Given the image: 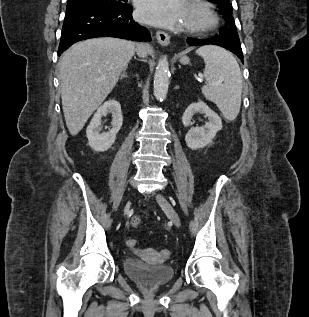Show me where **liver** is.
I'll list each match as a JSON object with an SVG mask.
<instances>
[{
  "label": "liver",
  "mask_w": 309,
  "mask_h": 317,
  "mask_svg": "<svg viewBox=\"0 0 309 317\" xmlns=\"http://www.w3.org/2000/svg\"><path fill=\"white\" fill-rule=\"evenodd\" d=\"M135 51L152 52L149 45L104 37L74 44L60 59L61 99L67 128L77 135L92 113L115 87Z\"/></svg>",
  "instance_id": "obj_1"
}]
</instances>
